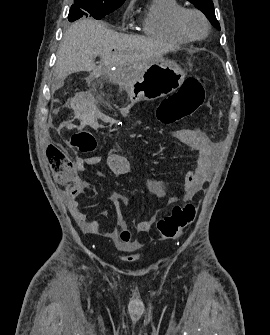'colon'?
I'll return each mask as SVG.
<instances>
[{
    "label": "colon",
    "mask_w": 270,
    "mask_h": 335,
    "mask_svg": "<svg viewBox=\"0 0 270 335\" xmlns=\"http://www.w3.org/2000/svg\"><path fill=\"white\" fill-rule=\"evenodd\" d=\"M204 83L203 78H188L178 91L162 99L157 109L159 121L164 125H171L191 115L203 101ZM70 146L82 154L91 155L97 150V141L93 133L80 131L71 136ZM195 210L193 202L174 206L170 214L163 216L157 222L158 232L164 239L174 238L194 221ZM120 238L122 241H128L129 231H121Z\"/></svg>",
    "instance_id": "5ec220e1"
}]
</instances>
